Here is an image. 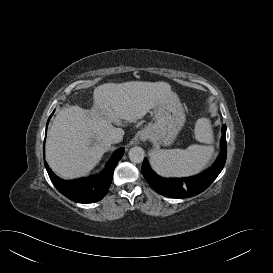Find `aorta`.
<instances>
[{
  "instance_id": "762f6f07",
  "label": "aorta",
  "mask_w": 273,
  "mask_h": 273,
  "mask_svg": "<svg viewBox=\"0 0 273 273\" xmlns=\"http://www.w3.org/2000/svg\"><path fill=\"white\" fill-rule=\"evenodd\" d=\"M145 152L143 148L135 146L129 151V159L133 163H141L144 160Z\"/></svg>"
}]
</instances>
